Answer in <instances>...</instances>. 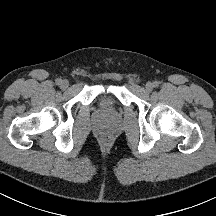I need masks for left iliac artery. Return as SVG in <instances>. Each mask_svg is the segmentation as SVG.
Listing matches in <instances>:
<instances>
[{
  "label": "left iliac artery",
  "instance_id": "44dca946",
  "mask_svg": "<svg viewBox=\"0 0 216 216\" xmlns=\"http://www.w3.org/2000/svg\"><path fill=\"white\" fill-rule=\"evenodd\" d=\"M153 84H154V87H158L159 86V82L158 81H155Z\"/></svg>",
  "mask_w": 216,
  "mask_h": 216
}]
</instances>
